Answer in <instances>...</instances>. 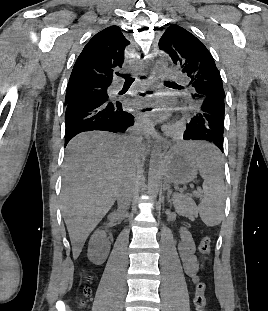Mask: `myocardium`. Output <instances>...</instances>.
Masks as SVG:
<instances>
[{"instance_id": "obj_1", "label": "myocardium", "mask_w": 268, "mask_h": 311, "mask_svg": "<svg viewBox=\"0 0 268 311\" xmlns=\"http://www.w3.org/2000/svg\"><path fill=\"white\" fill-rule=\"evenodd\" d=\"M182 122L178 121L165 127V131L171 137H179L182 134Z\"/></svg>"}]
</instances>
